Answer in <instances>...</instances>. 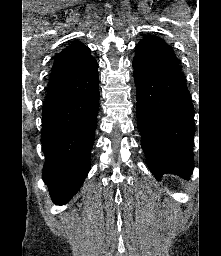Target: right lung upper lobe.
<instances>
[{
	"instance_id": "1",
	"label": "right lung upper lobe",
	"mask_w": 221,
	"mask_h": 256,
	"mask_svg": "<svg viewBox=\"0 0 221 256\" xmlns=\"http://www.w3.org/2000/svg\"><path fill=\"white\" fill-rule=\"evenodd\" d=\"M98 63L90 49L73 42L57 56L50 74L44 108L60 105L98 88Z\"/></svg>"
}]
</instances>
